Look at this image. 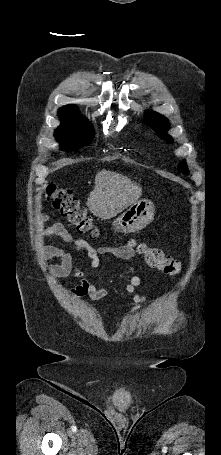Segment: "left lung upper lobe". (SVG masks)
<instances>
[{
	"label": "left lung upper lobe",
	"mask_w": 221,
	"mask_h": 455,
	"mask_svg": "<svg viewBox=\"0 0 221 455\" xmlns=\"http://www.w3.org/2000/svg\"><path fill=\"white\" fill-rule=\"evenodd\" d=\"M145 122L151 126L161 138L168 142H173L171 136L166 134L168 120L165 117L161 116L157 112L148 111L145 115ZM178 169L184 174L188 173L186 163L184 161L178 165Z\"/></svg>",
	"instance_id": "5c2ea615"
}]
</instances>
